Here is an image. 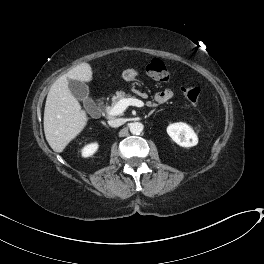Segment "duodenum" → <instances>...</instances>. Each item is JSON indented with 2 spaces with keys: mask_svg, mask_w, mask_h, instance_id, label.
Returning <instances> with one entry per match:
<instances>
[{
  "mask_svg": "<svg viewBox=\"0 0 264 264\" xmlns=\"http://www.w3.org/2000/svg\"><path fill=\"white\" fill-rule=\"evenodd\" d=\"M95 106L100 112H102L105 108V101L103 99H96Z\"/></svg>",
  "mask_w": 264,
  "mask_h": 264,
  "instance_id": "duodenum-1",
  "label": "duodenum"
}]
</instances>
